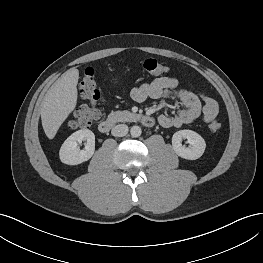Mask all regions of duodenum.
Returning a JSON list of instances; mask_svg holds the SVG:
<instances>
[{
	"label": "duodenum",
	"instance_id": "410a0bca",
	"mask_svg": "<svg viewBox=\"0 0 263 263\" xmlns=\"http://www.w3.org/2000/svg\"><path fill=\"white\" fill-rule=\"evenodd\" d=\"M136 118L138 119V121L140 123H142L146 127H152L154 125V119H153V117H151L149 115L138 114L136 116ZM114 125H115L114 120L106 119V120H103L99 124L98 128H99L100 132L107 133L113 128Z\"/></svg>",
	"mask_w": 263,
	"mask_h": 263
}]
</instances>
